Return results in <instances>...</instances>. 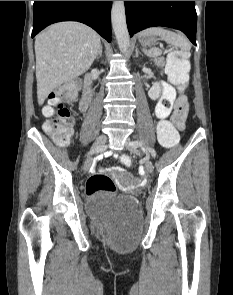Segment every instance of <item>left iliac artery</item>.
Returning <instances> with one entry per match:
<instances>
[{
    "mask_svg": "<svg viewBox=\"0 0 233 295\" xmlns=\"http://www.w3.org/2000/svg\"><path fill=\"white\" fill-rule=\"evenodd\" d=\"M131 143L133 145H141L143 142L141 140H133ZM149 152L151 153V157H156V151L155 150L149 149Z\"/></svg>",
    "mask_w": 233,
    "mask_h": 295,
    "instance_id": "44dca946",
    "label": "left iliac artery"
}]
</instances>
